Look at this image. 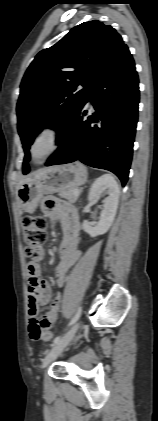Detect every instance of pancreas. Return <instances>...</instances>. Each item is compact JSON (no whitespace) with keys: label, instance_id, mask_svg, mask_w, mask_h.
<instances>
[{"label":"pancreas","instance_id":"pancreas-1","mask_svg":"<svg viewBox=\"0 0 158 421\" xmlns=\"http://www.w3.org/2000/svg\"><path fill=\"white\" fill-rule=\"evenodd\" d=\"M75 188L66 189L59 192V196L67 199L69 202L74 203L78 199V196L74 195Z\"/></svg>","mask_w":158,"mask_h":421}]
</instances>
